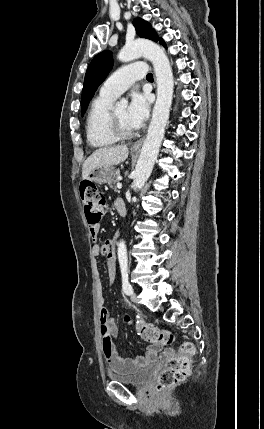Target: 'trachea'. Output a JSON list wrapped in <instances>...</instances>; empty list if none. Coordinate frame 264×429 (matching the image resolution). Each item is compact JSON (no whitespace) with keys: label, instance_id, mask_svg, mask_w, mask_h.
<instances>
[{"label":"trachea","instance_id":"1","mask_svg":"<svg viewBox=\"0 0 264 429\" xmlns=\"http://www.w3.org/2000/svg\"><path fill=\"white\" fill-rule=\"evenodd\" d=\"M146 78H147L148 80H152V79H153V75H152V73H148V74H147V76H146Z\"/></svg>","mask_w":264,"mask_h":429}]
</instances>
